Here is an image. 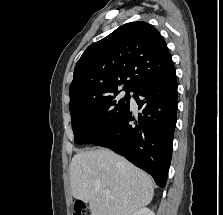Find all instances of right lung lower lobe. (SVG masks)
<instances>
[{
  "label": "right lung lower lobe",
  "instance_id": "right-lung-lower-lobe-1",
  "mask_svg": "<svg viewBox=\"0 0 223 215\" xmlns=\"http://www.w3.org/2000/svg\"><path fill=\"white\" fill-rule=\"evenodd\" d=\"M133 95L142 113L135 120L130 105L120 121L92 144L107 147L148 172L164 188L172 157L173 133L177 121L175 72L164 79L144 84Z\"/></svg>",
  "mask_w": 223,
  "mask_h": 215
}]
</instances>
